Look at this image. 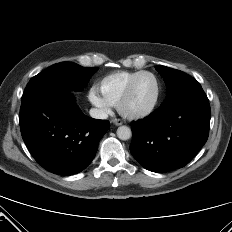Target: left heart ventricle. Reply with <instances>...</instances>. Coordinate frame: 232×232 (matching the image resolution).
Returning <instances> with one entry per match:
<instances>
[{
  "label": "left heart ventricle",
  "mask_w": 232,
  "mask_h": 232,
  "mask_svg": "<svg viewBox=\"0 0 232 232\" xmlns=\"http://www.w3.org/2000/svg\"><path fill=\"white\" fill-rule=\"evenodd\" d=\"M155 95V80L149 75H144L138 79L131 98L125 105V110L128 112L144 110L151 105Z\"/></svg>",
  "instance_id": "1"
}]
</instances>
